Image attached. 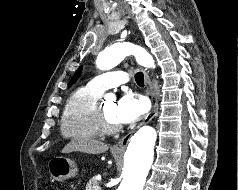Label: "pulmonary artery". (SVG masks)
<instances>
[{"label":"pulmonary artery","mask_w":238,"mask_h":190,"mask_svg":"<svg viewBox=\"0 0 238 190\" xmlns=\"http://www.w3.org/2000/svg\"><path fill=\"white\" fill-rule=\"evenodd\" d=\"M127 81L128 77L124 71H111L94 77L88 82L87 86L103 93L105 90L118 87Z\"/></svg>","instance_id":"e3ab8cb5"}]
</instances>
